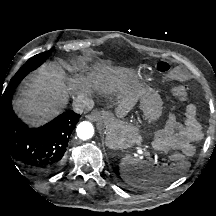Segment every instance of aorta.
<instances>
[{"label":"aorta","instance_id":"1","mask_svg":"<svg viewBox=\"0 0 216 216\" xmlns=\"http://www.w3.org/2000/svg\"><path fill=\"white\" fill-rule=\"evenodd\" d=\"M77 135L82 140L92 138L94 134V127L90 122L83 121L76 128Z\"/></svg>","mask_w":216,"mask_h":216}]
</instances>
